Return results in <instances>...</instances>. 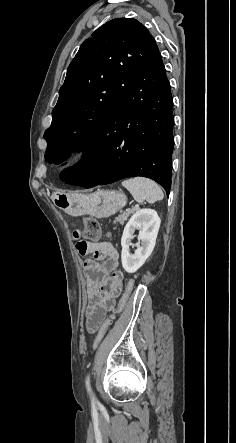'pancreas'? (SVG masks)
<instances>
[{
	"label": "pancreas",
	"instance_id": "pancreas-1",
	"mask_svg": "<svg viewBox=\"0 0 236 443\" xmlns=\"http://www.w3.org/2000/svg\"><path fill=\"white\" fill-rule=\"evenodd\" d=\"M137 210H138V208L134 207V208L128 209L126 212H123L115 219L114 224H116V223L124 224V222L128 219V217Z\"/></svg>",
	"mask_w": 236,
	"mask_h": 443
}]
</instances>
